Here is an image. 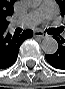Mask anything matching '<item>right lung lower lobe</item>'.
Masks as SVG:
<instances>
[{
  "mask_svg": "<svg viewBox=\"0 0 65 89\" xmlns=\"http://www.w3.org/2000/svg\"><path fill=\"white\" fill-rule=\"evenodd\" d=\"M6 29H0V70L15 63L21 44L33 35L32 30H26L12 36Z\"/></svg>",
  "mask_w": 65,
  "mask_h": 89,
  "instance_id": "98d812e1",
  "label": "right lung lower lobe"
}]
</instances>
